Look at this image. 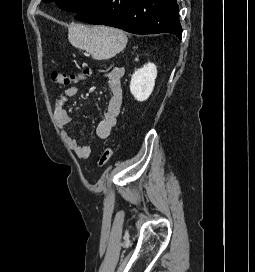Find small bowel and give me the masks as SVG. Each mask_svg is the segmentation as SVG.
I'll list each match as a JSON object with an SVG mask.
<instances>
[{
    "mask_svg": "<svg viewBox=\"0 0 255 272\" xmlns=\"http://www.w3.org/2000/svg\"><path fill=\"white\" fill-rule=\"evenodd\" d=\"M124 73V68L119 66L113 67L105 73L104 77L108 83L110 99L104 112L103 119L96 126V135L101 139L108 138L113 128L117 124L118 116L123 103L122 78ZM78 91V86L72 85L66 88L56 101L54 118L57 125L62 129H65V127L70 123V115L66 109V104L69 99L76 96ZM64 136L70 149L79 159L86 160L89 158L91 154L89 146L80 144L66 131H64Z\"/></svg>",
    "mask_w": 255,
    "mask_h": 272,
    "instance_id": "c3829d8e",
    "label": "small bowel"
}]
</instances>
